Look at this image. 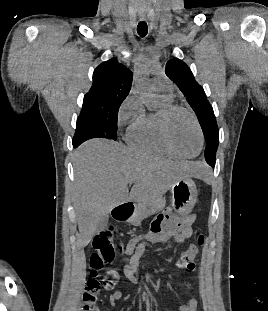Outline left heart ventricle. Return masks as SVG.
<instances>
[{
  "instance_id": "b2bd125f",
  "label": "left heart ventricle",
  "mask_w": 268,
  "mask_h": 311,
  "mask_svg": "<svg viewBox=\"0 0 268 311\" xmlns=\"http://www.w3.org/2000/svg\"><path fill=\"white\" fill-rule=\"evenodd\" d=\"M170 135L175 145L184 153L194 155L198 152L200 138L191 118L183 113H175L170 120Z\"/></svg>"
}]
</instances>
